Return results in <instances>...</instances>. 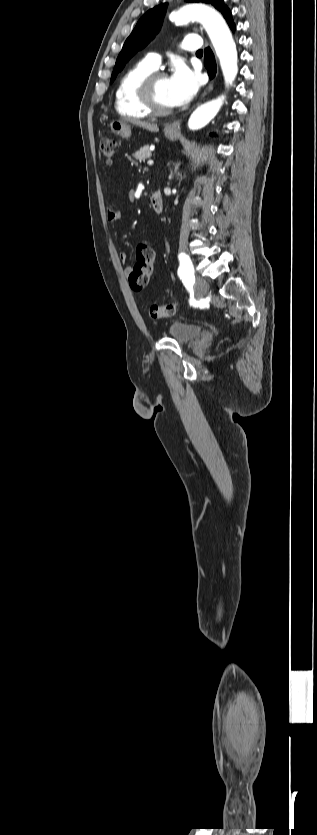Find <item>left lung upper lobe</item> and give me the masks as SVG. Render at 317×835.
Wrapping results in <instances>:
<instances>
[{
    "instance_id": "left-lung-upper-lobe-1",
    "label": "left lung upper lobe",
    "mask_w": 317,
    "mask_h": 835,
    "mask_svg": "<svg viewBox=\"0 0 317 835\" xmlns=\"http://www.w3.org/2000/svg\"><path fill=\"white\" fill-rule=\"evenodd\" d=\"M191 3H205L211 4L216 9L222 12L224 16L229 11V9L223 4V0H185ZM168 4H160L149 11H147L138 21L136 27L130 34V36L126 39L122 51L120 52L112 76L111 81L115 79L117 74L124 68L126 62L137 53V51L143 49L158 33L160 30L163 19L166 13Z\"/></svg>"
}]
</instances>
